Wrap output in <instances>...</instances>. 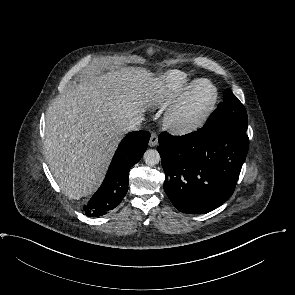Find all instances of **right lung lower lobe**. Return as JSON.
I'll use <instances>...</instances> for the list:
<instances>
[{
  "instance_id": "1",
  "label": "right lung lower lobe",
  "mask_w": 295,
  "mask_h": 295,
  "mask_svg": "<svg viewBox=\"0 0 295 295\" xmlns=\"http://www.w3.org/2000/svg\"><path fill=\"white\" fill-rule=\"evenodd\" d=\"M150 133H129L119 144L106 177L83 210L87 216L99 217L116 208L128 190L129 171L147 149Z\"/></svg>"
}]
</instances>
